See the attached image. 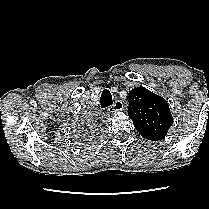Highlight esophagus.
Masks as SVG:
<instances>
[{"mask_svg": "<svg viewBox=\"0 0 209 209\" xmlns=\"http://www.w3.org/2000/svg\"><path fill=\"white\" fill-rule=\"evenodd\" d=\"M123 109V103L120 100H116L112 106L109 107V112L114 113Z\"/></svg>", "mask_w": 209, "mask_h": 209, "instance_id": "1", "label": "esophagus"}]
</instances>
